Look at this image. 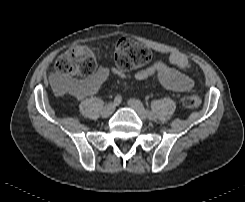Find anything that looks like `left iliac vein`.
Listing matches in <instances>:
<instances>
[{
	"mask_svg": "<svg viewBox=\"0 0 245 202\" xmlns=\"http://www.w3.org/2000/svg\"><path fill=\"white\" fill-rule=\"evenodd\" d=\"M129 106L136 111L141 120L145 121L147 119L146 110L143 104L137 99H130L128 102Z\"/></svg>",
	"mask_w": 245,
	"mask_h": 202,
	"instance_id": "1",
	"label": "left iliac vein"
}]
</instances>
